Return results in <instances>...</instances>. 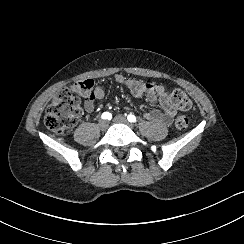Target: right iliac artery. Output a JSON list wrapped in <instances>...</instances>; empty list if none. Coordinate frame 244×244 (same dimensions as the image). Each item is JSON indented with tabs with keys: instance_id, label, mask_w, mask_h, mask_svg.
I'll return each instance as SVG.
<instances>
[{
	"instance_id": "obj_1",
	"label": "right iliac artery",
	"mask_w": 244,
	"mask_h": 244,
	"mask_svg": "<svg viewBox=\"0 0 244 244\" xmlns=\"http://www.w3.org/2000/svg\"><path fill=\"white\" fill-rule=\"evenodd\" d=\"M101 118H102V119H108V120H110V119L112 118V115H111V113H109V112H104V113L102 114Z\"/></svg>"
}]
</instances>
